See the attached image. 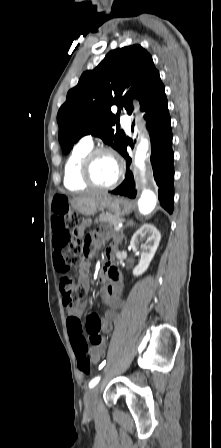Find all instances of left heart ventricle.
<instances>
[{"instance_id":"left-heart-ventricle-1","label":"left heart ventricle","mask_w":221,"mask_h":448,"mask_svg":"<svg viewBox=\"0 0 221 448\" xmlns=\"http://www.w3.org/2000/svg\"><path fill=\"white\" fill-rule=\"evenodd\" d=\"M117 172V163L112 156L100 155L96 158L92 174L97 183L102 185L110 184L116 178Z\"/></svg>"}]
</instances>
